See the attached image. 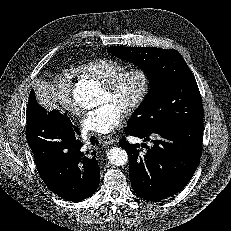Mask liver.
Here are the masks:
<instances>
[{
  "label": "liver",
  "mask_w": 231,
  "mask_h": 231,
  "mask_svg": "<svg viewBox=\"0 0 231 231\" xmlns=\"http://www.w3.org/2000/svg\"><path fill=\"white\" fill-rule=\"evenodd\" d=\"M35 95L37 101L48 111L58 108L52 94V87L46 81H37L35 86Z\"/></svg>",
  "instance_id": "1"
}]
</instances>
